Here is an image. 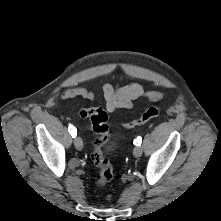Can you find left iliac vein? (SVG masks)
Here are the masks:
<instances>
[{
  "label": "left iliac vein",
  "mask_w": 221,
  "mask_h": 221,
  "mask_svg": "<svg viewBox=\"0 0 221 221\" xmlns=\"http://www.w3.org/2000/svg\"><path fill=\"white\" fill-rule=\"evenodd\" d=\"M143 153V149L141 146L137 145L134 150H133V154L135 157H140Z\"/></svg>",
  "instance_id": "obj_1"
}]
</instances>
